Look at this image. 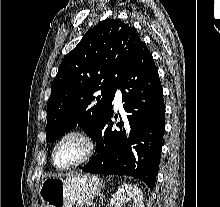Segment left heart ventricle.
Here are the masks:
<instances>
[{
  "mask_svg": "<svg viewBox=\"0 0 220 207\" xmlns=\"http://www.w3.org/2000/svg\"><path fill=\"white\" fill-rule=\"evenodd\" d=\"M85 152L84 143L78 138H68L61 143L56 152L58 165H66L75 162Z\"/></svg>",
  "mask_w": 220,
  "mask_h": 207,
  "instance_id": "obj_1",
  "label": "left heart ventricle"
}]
</instances>
